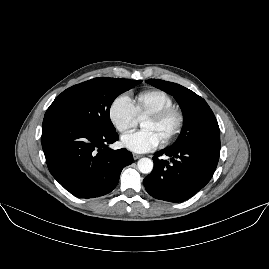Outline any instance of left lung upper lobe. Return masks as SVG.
<instances>
[{
	"instance_id": "left-lung-upper-lobe-1",
	"label": "left lung upper lobe",
	"mask_w": 269,
	"mask_h": 269,
	"mask_svg": "<svg viewBox=\"0 0 269 269\" xmlns=\"http://www.w3.org/2000/svg\"><path fill=\"white\" fill-rule=\"evenodd\" d=\"M146 82L172 95L182 109L183 127L172 146L205 145L220 150V131L217 120L202 97L176 83L160 79H149Z\"/></svg>"
}]
</instances>
